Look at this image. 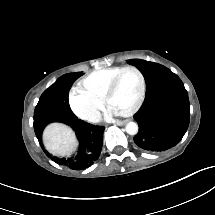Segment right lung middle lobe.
Instances as JSON below:
<instances>
[{"label":"right lung middle lobe","mask_w":215,"mask_h":215,"mask_svg":"<svg viewBox=\"0 0 215 215\" xmlns=\"http://www.w3.org/2000/svg\"><path fill=\"white\" fill-rule=\"evenodd\" d=\"M80 76V73L66 75L50 86L39 99L34 111V121L52 116L76 117L70 109L68 94L71 85Z\"/></svg>","instance_id":"1"}]
</instances>
